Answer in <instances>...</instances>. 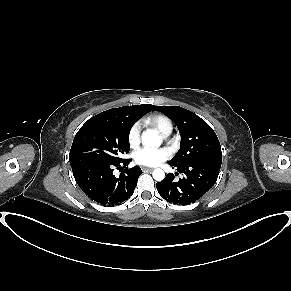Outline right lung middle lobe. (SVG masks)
<instances>
[{
    "label": "right lung middle lobe",
    "mask_w": 291,
    "mask_h": 291,
    "mask_svg": "<svg viewBox=\"0 0 291 291\" xmlns=\"http://www.w3.org/2000/svg\"><path fill=\"white\" fill-rule=\"evenodd\" d=\"M135 119L125 113H100L77 132L70 150L71 167L89 162H119L130 150L129 133Z\"/></svg>",
    "instance_id": "obj_1"
}]
</instances>
